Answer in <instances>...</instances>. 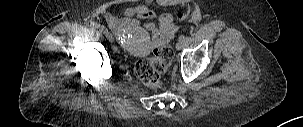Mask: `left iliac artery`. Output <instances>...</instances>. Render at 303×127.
<instances>
[{"instance_id":"1","label":"left iliac artery","mask_w":303,"mask_h":127,"mask_svg":"<svg viewBox=\"0 0 303 127\" xmlns=\"http://www.w3.org/2000/svg\"><path fill=\"white\" fill-rule=\"evenodd\" d=\"M184 37H185V39H186V41H187L188 44L192 42V37L191 36L186 35Z\"/></svg>"}]
</instances>
